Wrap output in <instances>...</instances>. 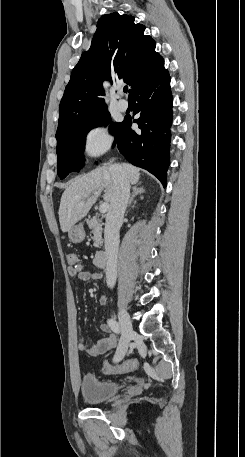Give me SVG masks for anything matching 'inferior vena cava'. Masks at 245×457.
Here are the masks:
<instances>
[{"instance_id": "inferior-vena-cava-1", "label": "inferior vena cava", "mask_w": 245, "mask_h": 457, "mask_svg": "<svg viewBox=\"0 0 245 457\" xmlns=\"http://www.w3.org/2000/svg\"><path fill=\"white\" fill-rule=\"evenodd\" d=\"M112 162V160H111ZM114 192L106 214L104 241L106 263V281L108 287H114L117 279V257L119 251V231L124 212L129 200L130 182L121 166L110 164Z\"/></svg>"}]
</instances>
